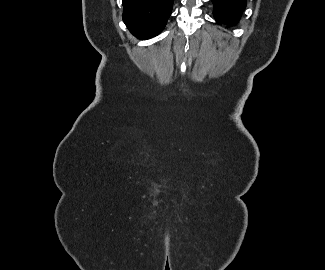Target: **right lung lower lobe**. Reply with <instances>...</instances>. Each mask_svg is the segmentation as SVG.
<instances>
[{
	"instance_id": "obj_1",
	"label": "right lung lower lobe",
	"mask_w": 325,
	"mask_h": 270,
	"mask_svg": "<svg viewBox=\"0 0 325 270\" xmlns=\"http://www.w3.org/2000/svg\"><path fill=\"white\" fill-rule=\"evenodd\" d=\"M174 0H122L123 21L136 37L158 35L171 15Z\"/></svg>"
}]
</instances>
